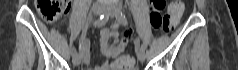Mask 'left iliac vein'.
Masks as SVG:
<instances>
[{
	"label": "left iliac vein",
	"mask_w": 238,
	"mask_h": 70,
	"mask_svg": "<svg viewBox=\"0 0 238 70\" xmlns=\"http://www.w3.org/2000/svg\"><path fill=\"white\" fill-rule=\"evenodd\" d=\"M103 13L110 17H114L116 15V7L114 5H107L103 8ZM137 56L141 62L145 60V53L143 50L140 49L137 52Z\"/></svg>",
	"instance_id": "1"
}]
</instances>
